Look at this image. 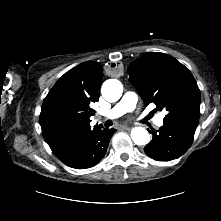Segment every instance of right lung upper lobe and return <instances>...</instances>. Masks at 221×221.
<instances>
[{"mask_svg":"<svg viewBox=\"0 0 221 221\" xmlns=\"http://www.w3.org/2000/svg\"><path fill=\"white\" fill-rule=\"evenodd\" d=\"M103 69L87 61L65 73L43 101L39 117L42 134L57 158L80 145L100 125L90 126L99 100Z\"/></svg>","mask_w":221,"mask_h":221,"instance_id":"obj_1","label":"right lung upper lobe"}]
</instances>
